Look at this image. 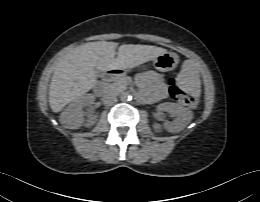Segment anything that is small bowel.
I'll return each mask as SVG.
<instances>
[{
	"label": "small bowel",
	"mask_w": 260,
	"mask_h": 202,
	"mask_svg": "<svg viewBox=\"0 0 260 202\" xmlns=\"http://www.w3.org/2000/svg\"><path fill=\"white\" fill-rule=\"evenodd\" d=\"M137 83L144 90L146 97L150 101H158L167 95V89L163 78L156 72L151 71L139 75Z\"/></svg>",
	"instance_id": "c3829d8e"
}]
</instances>
